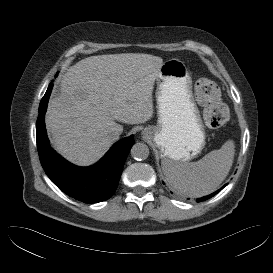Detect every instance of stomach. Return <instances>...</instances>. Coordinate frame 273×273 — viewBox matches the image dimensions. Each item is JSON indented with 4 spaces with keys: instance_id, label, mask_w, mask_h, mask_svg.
<instances>
[{
    "instance_id": "obj_1",
    "label": "stomach",
    "mask_w": 273,
    "mask_h": 273,
    "mask_svg": "<svg viewBox=\"0 0 273 273\" xmlns=\"http://www.w3.org/2000/svg\"><path fill=\"white\" fill-rule=\"evenodd\" d=\"M156 84L157 125L143 134L159 149L162 161L188 162L203 150L205 128L186 65L179 59L165 61Z\"/></svg>"
}]
</instances>
